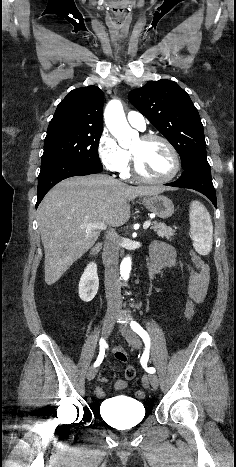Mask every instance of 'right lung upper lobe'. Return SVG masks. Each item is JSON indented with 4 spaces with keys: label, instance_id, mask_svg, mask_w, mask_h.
<instances>
[{
    "label": "right lung upper lobe",
    "instance_id": "obj_1",
    "mask_svg": "<svg viewBox=\"0 0 236 467\" xmlns=\"http://www.w3.org/2000/svg\"><path fill=\"white\" fill-rule=\"evenodd\" d=\"M103 101V92L96 86L74 89L59 103L48 128L103 129Z\"/></svg>",
    "mask_w": 236,
    "mask_h": 467
}]
</instances>
